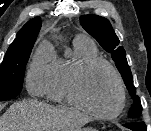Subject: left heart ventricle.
<instances>
[{
	"label": "left heart ventricle",
	"instance_id": "1",
	"mask_svg": "<svg viewBox=\"0 0 151 131\" xmlns=\"http://www.w3.org/2000/svg\"><path fill=\"white\" fill-rule=\"evenodd\" d=\"M83 92L90 106L101 113L115 111L119 89L113 74L104 66L94 68L83 83Z\"/></svg>",
	"mask_w": 151,
	"mask_h": 131
}]
</instances>
